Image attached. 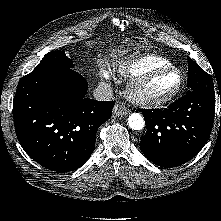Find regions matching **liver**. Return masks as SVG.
Returning <instances> with one entry per match:
<instances>
[{
	"mask_svg": "<svg viewBox=\"0 0 221 221\" xmlns=\"http://www.w3.org/2000/svg\"><path fill=\"white\" fill-rule=\"evenodd\" d=\"M111 52L112 59H117L123 57L128 52V49H123V46H120V49H113Z\"/></svg>",
	"mask_w": 221,
	"mask_h": 221,
	"instance_id": "liver-1",
	"label": "liver"
}]
</instances>
